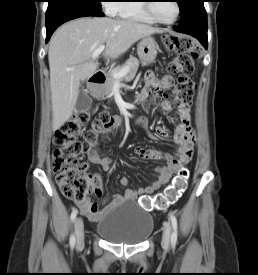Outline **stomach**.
<instances>
[{
	"label": "stomach",
	"instance_id": "1",
	"mask_svg": "<svg viewBox=\"0 0 258 275\" xmlns=\"http://www.w3.org/2000/svg\"><path fill=\"white\" fill-rule=\"evenodd\" d=\"M159 50L158 43L151 36L144 37L137 46V54L143 64H151L155 61ZM104 94V87H97L94 96L99 98Z\"/></svg>",
	"mask_w": 258,
	"mask_h": 275
}]
</instances>
